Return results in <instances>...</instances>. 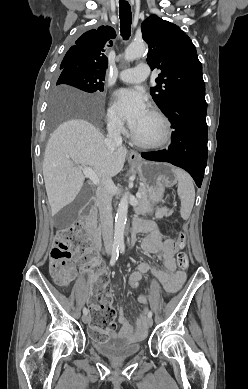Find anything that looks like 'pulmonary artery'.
<instances>
[{"mask_svg": "<svg viewBox=\"0 0 248 389\" xmlns=\"http://www.w3.org/2000/svg\"><path fill=\"white\" fill-rule=\"evenodd\" d=\"M150 75L147 63H140L135 68L125 69L119 73V79L126 83H139Z\"/></svg>", "mask_w": 248, "mask_h": 389, "instance_id": "1", "label": "pulmonary artery"}]
</instances>
